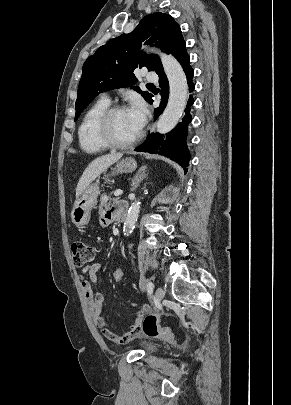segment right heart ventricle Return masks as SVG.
Here are the masks:
<instances>
[{
	"label": "right heart ventricle",
	"mask_w": 291,
	"mask_h": 405,
	"mask_svg": "<svg viewBox=\"0 0 291 405\" xmlns=\"http://www.w3.org/2000/svg\"><path fill=\"white\" fill-rule=\"evenodd\" d=\"M109 107V102L98 100L91 105L83 115L78 127V140L80 148L89 154L106 151L107 147L98 136V122L101 115Z\"/></svg>",
	"instance_id": "1"
}]
</instances>
